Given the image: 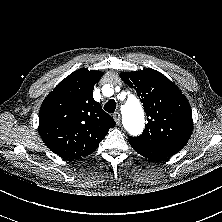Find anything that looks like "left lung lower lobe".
Returning <instances> with one entry per match:
<instances>
[{
	"instance_id": "0a47b994",
	"label": "left lung lower lobe",
	"mask_w": 222,
	"mask_h": 222,
	"mask_svg": "<svg viewBox=\"0 0 222 222\" xmlns=\"http://www.w3.org/2000/svg\"><path fill=\"white\" fill-rule=\"evenodd\" d=\"M132 148L140 155L152 159L159 160L172 156L180 151L183 147L177 145H151L134 140H128Z\"/></svg>"
}]
</instances>
